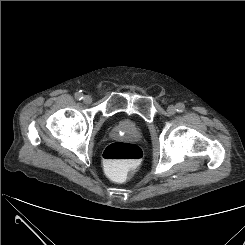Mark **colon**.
<instances>
[{
	"instance_id": "colon-1",
	"label": "colon",
	"mask_w": 245,
	"mask_h": 245,
	"mask_svg": "<svg viewBox=\"0 0 245 245\" xmlns=\"http://www.w3.org/2000/svg\"><path fill=\"white\" fill-rule=\"evenodd\" d=\"M142 158L143 150L132 143L113 142L103 153L104 166L110 178L118 182L125 181L128 168L136 166Z\"/></svg>"
}]
</instances>
